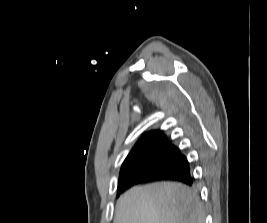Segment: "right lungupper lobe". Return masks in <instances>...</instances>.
I'll list each match as a JSON object with an SVG mask.
<instances>
[{
	"label": "right lung upper lobe",
	"instance_id": "obj_1",
	"mask_svg": "<svg viewBox=\"0 0 267 223\" xmlns=\"http://www.w3.org/2000/svg\"><path fill=\"white\" fill-rule=\"evenodd\" d=\"M167 149H177V147L170 143L162 131L157 130L144 133L125 159L120 175L125 174L126 167L130 164L150 159L158 152Z\"/></svg>",
	"mask_w": 267,
	"mask_h": 223
}]
</instances>
